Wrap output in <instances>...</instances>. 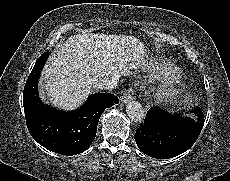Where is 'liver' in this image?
Masks as SVG:
<instances>
[{
  "label": "liver",
  "mask_w": 230,
  "mask_h": 181,
  "mask_svg": "<svg viewBox=\"0 0 230 181\" xmlns=\"http://www.w3.org/2000/svg\"><path fill=\"white\" fill-rule=\"evenodd\" d=\"M143 44L128 36L78 34L49 58L39 81L40 94L58 108L72 110L103 77L129 75L145 64Z\"/></svg>",
  "instance_id": "6515ba94"
}]
</instances>
